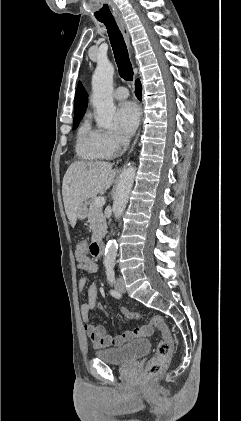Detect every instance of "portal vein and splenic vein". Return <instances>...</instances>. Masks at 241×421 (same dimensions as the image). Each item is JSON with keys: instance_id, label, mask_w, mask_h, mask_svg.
Wrapping results in <instances>:
<instances>
[{"instance_id": "obj_1", "label": "portal vein and splenic vein", "mask_w": 241, "mask_h": 421, "mask_svg": "<svg viewBox=\"0 0 241 421\" xmlns=\"http://www.w3.org/2000/svg\"><path fill=\"white\" fill-rule=\"evenodd\" d=\"M94 204H95V206L102 208L104 206V204H105V198L104 197H97V198H95Z\"/></svg>"}]
</instances>
